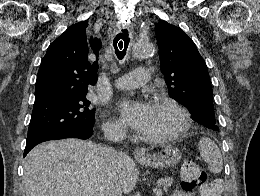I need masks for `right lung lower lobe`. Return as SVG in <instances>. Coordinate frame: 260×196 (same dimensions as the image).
I'll return each mask as SVG.
<instances>
[{"label":"right lung lower lobe","instance_id":"obj_1","mask_svg":"<svg viewBox=\"0 0 260 196\" xmlns=\"http://www.w3.org/2000/svg\"><path fill=\"white\" fill-rule=\"evenodd\" d=\"M92 134H93V127H89V128H86V129H82V130H79V131H75V132L57 137L54 140L65 139V138H78V139H84L85 140V139H88L89 137H91ZM33 147L34 146L25 148L24 157Z\"/></svg>","mask_w":260,"mask_h":196}]
</instances>
